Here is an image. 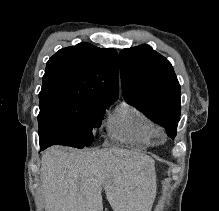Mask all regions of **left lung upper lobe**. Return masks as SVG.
Masks as SVG:
<instances>
[{
  "label": "left lung upper lobe",
  "mask_w": 219,
  "mask_h": 211,
  "mask_svg": "<svg viewBox=\"0 0 219 211\" xmlns=\"http://www.w3.org/2000/svg\"><path fill=\"white\" fill-rule=\"evenodd\" d=\"M125 100L176 136L180 119V85L171 63L148 45L120 52Z\"/></svg>",
  "instance_id": "obj_1"
}]
</instances>
